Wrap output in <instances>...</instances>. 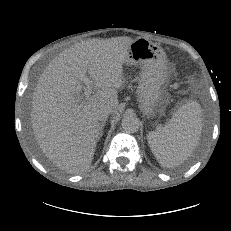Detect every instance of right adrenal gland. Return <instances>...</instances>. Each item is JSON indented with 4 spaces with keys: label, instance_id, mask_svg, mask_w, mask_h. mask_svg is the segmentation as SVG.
Returning a JSON list of instances; mask_svg holds the SVG:
<instances>
[{
    "label": "right adrenal gland",
    "instance_id": "2a0ac1e0",
    "mask_svg": "<svg viewBox=\"0 0 231 231\" xmlns=\"http://www.w3.org/2000/svg\"><path fill=\"white\" fill-rule=\"evenodd\" d=\"M104 126H105V124L102 123V125H101V131L99 133V138L103 135V128H104Z\"/></svg>",
    "mask_w": 231,
    "mask_h": 231
}]
</instances>
